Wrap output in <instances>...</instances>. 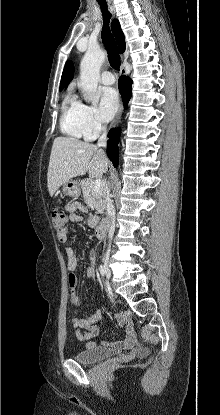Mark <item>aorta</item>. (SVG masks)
<instances>
[{
  "mask_svg": "<svg viewBox=\"0 0 220 415\" xmlns=\"http://www.w3.org/2000/svg\"><path fill=\"white\" fill-rule=\"evenodd\" d=\"M105 52L102 50L88 49L80 64V87L86 102L97 103V85L100 68L105 61Z\"/></svg>",
  "mask_w": 220,
  "mask_h": 415,
  "instance_id": "762f6f07",
  "label": "aorta"
}]
</instances>
